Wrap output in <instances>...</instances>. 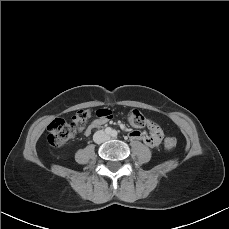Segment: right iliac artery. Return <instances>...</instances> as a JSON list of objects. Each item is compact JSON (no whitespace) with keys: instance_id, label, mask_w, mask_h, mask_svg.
Here are the masks:
<instances>
[{"instance_id":"82829eb1","label":"right iliac artery","mask_w":229,"mask_h":229,"mask_svg":"<svg viewBox=\"0 0 229 229\" xmlns=\"http://www.w3.org/2000/svg\"><path fill=\"white\" fill-rule=\"evenodd\" d=\"M105 132H106L107 134H111V133H112V130H111V128L107 127V128L105 129Z\"/></svg>"}]
</instances>
